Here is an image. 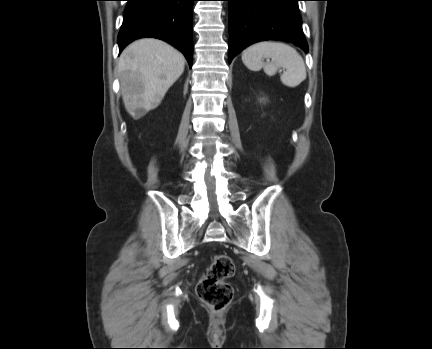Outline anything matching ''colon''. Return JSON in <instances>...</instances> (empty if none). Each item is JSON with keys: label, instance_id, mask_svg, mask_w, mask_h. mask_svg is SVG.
Returning <instances> with one entry per match:
<instances>
[{"label": "colon", "instance_id": "colon-1", "mask_svg": "<svg viewBox=\"0 0 432 349\" xmlns=\"http://www.w3.org/2000/svg\"><path fill=\"white\" fill-rule=\"evenodd\" d=\"M234 273L235 264L229 256L215 255L206 275L197 285V295L215 311L225 309L233 298V287L227 280Z\"/></svg>", "mask_w": 432, "mask_h": 349}]
</instances>
